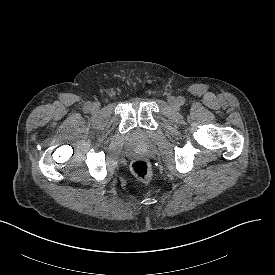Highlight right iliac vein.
I'll return each instance as SVG.
<instances>
[{
	"mask_svg": "<svg viewBox=\"0 0 275 275\" xmlns=\"http://www.w3.org/2000/svg\"><path fill=\"white\" fill-rule=\"evenodd\" d=\"M98 110H99V104L98 103L91 104V111L97 112Z\"/></svg>",
	"mask_w": 275,
	"mask_h": 275,
	"instance_id": "obj_1",
	"label": "right iliac vein"
}]
</instances>
